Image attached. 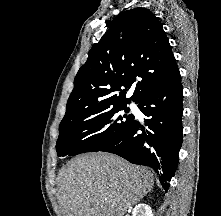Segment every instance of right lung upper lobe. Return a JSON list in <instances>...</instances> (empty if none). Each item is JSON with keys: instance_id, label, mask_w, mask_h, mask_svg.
<instances>
[{"instance_id": "obj_1", "label": "right lung upper lobe", "mask_w": 221, "mask_h": 216, "mask_svg": "<svg viewBox=\"0 0 221 216\" xmlns=\"http://www.w3.org/2000/svg\"><path fill=\"white\" fill-rule=\"evenodd\" d=\"M177 70L159 19L145 8L124 11L89 51L74 79L62 121L131 100L138 103ZM135 82L134 93L127 99L126 92Z\"/></svg>"}]
</instances>
